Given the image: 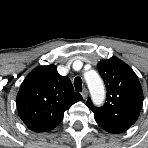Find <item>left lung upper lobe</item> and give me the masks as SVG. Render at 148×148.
Returning <instances> with one entry per match:
<instances>
[{"instance_id": "obj_1", "label": "left lung upper lobe", "mask_w": 148, "mask_h": 148, "mask_svg": "<svg viewBox=\"0 0 148 148\" xmlns=\"http://www.w3.org/2000/svg\"><path fill=\"white\" fill-rule=\"evenodd\" d=\"M107 89V101L102 107H94L88 99L96 122L110 133H121L133 125L139 117L143 92L137 75L117 57L102 60L97 65Z\"/></svg>"}]
</instances>
